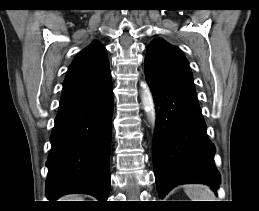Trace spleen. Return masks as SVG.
I'll return each instance as SVG.
<instances>
[{"label": "spleen", "mask_w": 259, "mask_h": 211, "mask_svg": "<svg viewBox=\"0 0 259 211\" xmlns=\"http://www.w3.org/2000/svg\"><path fill=\"white\" fill-rule=\"evenodd\" d=\"M191 201H216L213 191L203 184H188L184 188Z\"/></svg>", "instance_id": "3e777b00"}]
</instances>
